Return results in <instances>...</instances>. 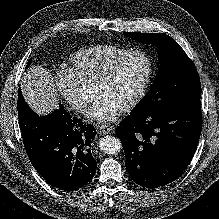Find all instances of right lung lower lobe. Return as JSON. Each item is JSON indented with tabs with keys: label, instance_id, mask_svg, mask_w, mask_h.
Listing matches in <instances>:
<instances>
[{
	"label": "right lung lower lobe",
	"instance_id": "1",
	"mask_svg": "<svg viewBox=\"0 0 219 219\" xmlns=\"http://www.w3.org/2000/svg\"><path fill=\"white\" fill-rule=\"evenodd\" d=\"M18 119L27 155L40 175L53 187L76 190L94 176L97 163L90 146L96 130L72 117L62 104L39 116L18 92Z\"/></svg>",
	"mask_w": 219,
	"mask_h": 219
}]
</instances>
